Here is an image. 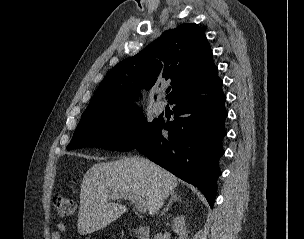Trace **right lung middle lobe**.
I'll return each instance as SVG.
<instances>
[{"instance_id":"dd1d6c3e","label":"right lung middle lobe","mask_w":304,"mask_h":239,"mask_svg":"<svg viewBox=\"0 0 304 239\" xmlns=\"http://www.w3.org/2000/svg\"><path fill=\"white\" fill-rule=\"evenodd\" d=\"M127 113L134 115V118L124 123ZM159 121L154 119L147 122L137 106H115L81 118L67 150L93 146L130 151L151 135Z\"/></svg>"}]
</instances>
